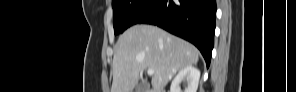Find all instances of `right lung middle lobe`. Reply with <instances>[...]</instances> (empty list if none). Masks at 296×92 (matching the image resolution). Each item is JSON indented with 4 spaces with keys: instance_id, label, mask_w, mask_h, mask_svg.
I'll list each match as a JSON object with an SVG mask.
<instances>
[{
    "instance_id": "right-lung-middle-lobe-1",
    "label": "right lung middle lobe",
    "mask_w": 296,
    "mask_h": 92,
    "mask_svg": "<svg viewBox=\"0 0 296 92\" xmlns=\"http://www.w3.org/2000/svg\"><path fill=\"white\" fill-rule=\"evenodd\" d=\"M159 2L160 0H113V26L115 35L137 24Z\"/></svg>"
}]
</instances>
